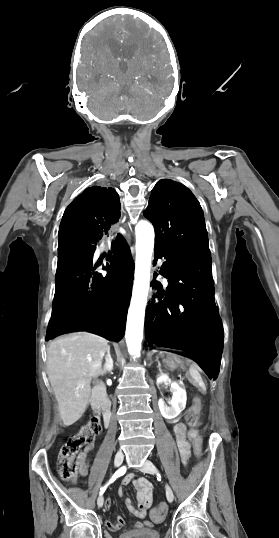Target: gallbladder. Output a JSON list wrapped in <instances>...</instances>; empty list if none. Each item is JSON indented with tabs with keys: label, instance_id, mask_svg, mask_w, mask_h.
<instances>
[{
	"label": "gallbladder",
	"instance_id": "bac80fb5",
	"mask_svg": "<svg viewBox=\"0 0 279 538\" xmlns=\"http://www.w3.org/2000/svg\"><path fill=\"white\" fill-rule=\"evenodd\" d=\"M82 418H85V415H82Z\"/></svg>",
	"mask_w": 279,
	"mask_h": 538
}]
</instances>
